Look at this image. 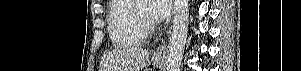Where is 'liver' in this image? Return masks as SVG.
I'll list each match as a JSON object with an SVG mask.
<instances>
[{"instance_id": "liver-1", "label": "liver", "mask_w": 301, "mask_h": 71, "mask_svg": "<svg viewBox=\"0 0 301 71\" xmlns=\"http://www.w3.org/2000/svg\"><path fill=\"white\" fill-rule=\"evenodd\" d=\"M149 59L148 50L127 48L109 52L102 61L103 71H140Z\"/></svg>"}]
</instances>
